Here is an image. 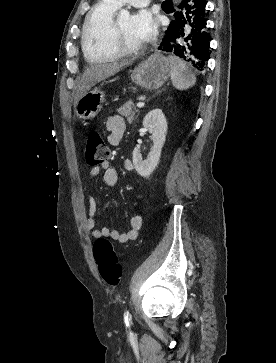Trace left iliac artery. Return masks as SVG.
Wrapping results in <instances>:
<instances>
[{
  "mask_svg": "<svg viewBox=\"0 0 276 363\" xmlns=\"http://www.w3.org/2000/svg\"><path fill=\"white\" fill-rule=\"evenodd\" d=\"M129 319H130V314H129V312L127 311L126 313H125V321H126V324L128 325V321H129Z\"/></svg>",
  "mask_w": 276,
  "mask_h": 363,
  "instance_id": "left-iliac-artery-1",
  "label": "left iliac artery"
}]
</instances>
